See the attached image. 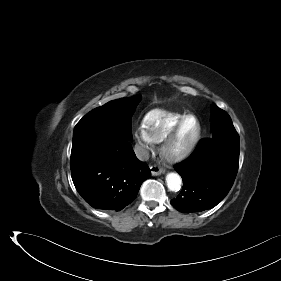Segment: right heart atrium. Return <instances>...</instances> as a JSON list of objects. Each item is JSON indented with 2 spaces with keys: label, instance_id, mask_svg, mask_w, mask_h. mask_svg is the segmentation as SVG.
I'll return each instance as SVG.
<instances>
[{
  "label": "right heart atrium",
  "instance_id": "1",
  "mask_svg": "<svg viewBox=\"0 0 281 281\" xmlns=\"http://www.w3.org/2000/svg\"><path fill=\"white\" fill-rule=\"evenodd\" d=\"M134 137L140 156H146L147 153L152 149L154 143L149 138L144 128L141 126L135 130Z\"/></svg>",
  "mask_w": 281,
  "mask_h": 281
}]
</instances>
